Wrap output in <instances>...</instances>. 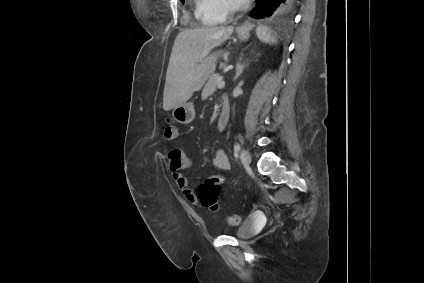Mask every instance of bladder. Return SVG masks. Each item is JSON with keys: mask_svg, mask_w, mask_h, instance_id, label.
Returning a JSON list of instances; mask_svg holds the SVG:
<instances>
[{"mask_svg": "<svg viewBox=\"0 0 424 283\" xmlns=\"http://www.w3.org/2000/svg\"><path fill=\"white\" fill-rule=\"evenodd\" d=\"M261 228L259 220L255 216H249L239 226L235 232L238 239H248L254 236Z\"/></svg>", "mask_w": 424, "mask_h": 283, "instance_id": "bladder-1", "label": "bladder"}]
</instances>
